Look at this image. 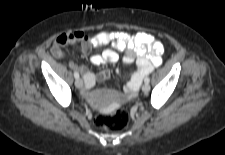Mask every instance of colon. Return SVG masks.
Returning a JSON list of instances; mask_svg holds the SVG:
<instances>
[{
  "instance_id": "obj_1",
  "label": "colon",
  "mask_w": 225,
  "mask_h": 155,
  "mask_svg": "<svg viewBox=\"0 0 225 155\" xmlns=\"http://www.w3.org/2000/svg\"><path fill=\"white\" fill-rule=\"evenodd\" d=\"M130 121L128 111L120 109L119 111L109 112L105 115H98L94 123L98 128L109 132H118L125 129Z\"/></svg>"
}]
</instances>
